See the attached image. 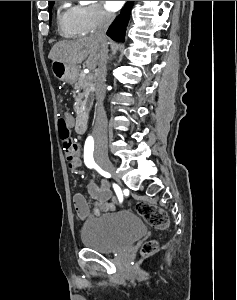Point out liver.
<instances>
[{"mask_svg":"<svg viewBox=\"0 0 237 300\" xmlns=\"http://www.w3.org/2000/svg\"><path fill=\"white\" fill-rule=\"evenodd\" d=\"M100 43L94 37H82L77 41H59L52 47L48 59L62 61L66 65H79L85 59L88 69H95L98 65Z\"/></svg>","mask_w":237,"mask_h":300,"instance_id":"obj_1","label":"liver"}]
</instances>
